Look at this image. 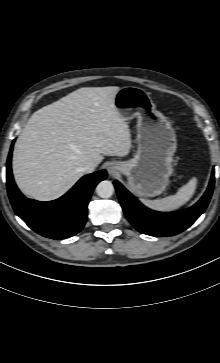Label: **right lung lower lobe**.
Returning a JSON list of instances; mask_svg holds the SVG:
<instances>
[{
	"label": "right lung lower lobe",
	"instance_id": "1",
	"mask_svg": "<svg viewBox=\"0 0 220 363\" xmlns=\"http://www.w3.org/2000/svg\"><path fill=\"white\" fill-rule=\"evenodd\" d=\"M13 145L7 159V190L16 214L35 232L51 239H65L77 234L87 218V205L95 186L106 178L101 170L82 177L59 199L41 202L26 198L17 188L12 172Z\"/></svg>",
	"mask_w": 220,
	"mask_h": 363
}]
</instances>
